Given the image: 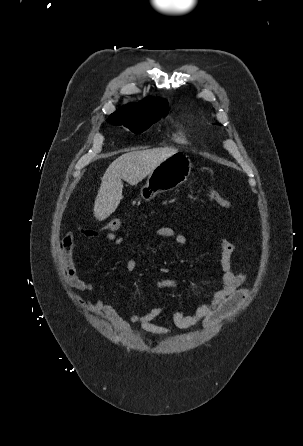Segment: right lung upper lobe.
Returning <instances> with one entry per match:
<instances>
[{"instance_id":"1","label":"right lung upper lobe","mask_w":303,"mask_h":446,"mask_svg":"<svg viewBox=\"0 0 303 446\" xmlns=\"http://www.w3.org/2000/svg\"><path fill=\"white\" fill-rule=\"evenodd\" d=\"M164 107H168L166 100L150 97L144 99L139 104L137 103L128 104L119 109L118 111H116L115 113L125 114V115H143L152 112L157 108H164Z\"/></svg>"}]
</instances>
